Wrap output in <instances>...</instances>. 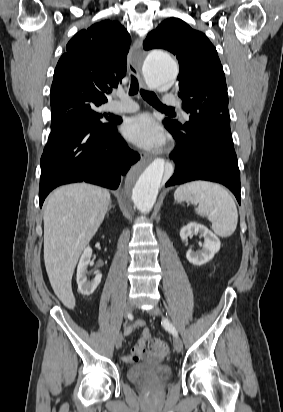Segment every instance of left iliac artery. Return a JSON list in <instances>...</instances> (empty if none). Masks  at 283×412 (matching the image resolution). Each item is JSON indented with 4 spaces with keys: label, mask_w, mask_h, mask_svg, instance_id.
Wrapping results in <instances>:
<instances>
[{
    "label": "left iliac artery",
    "mask_w": 283,
    "mask_h": 412,
    "mask_svg": "<svg viewBox=\"0 0 283 412\" xmlns=\"http://www.w3.org/2000/svg\"><path fill=\"white\" fill-rule=\"evenodd\" d=\"M163 325L165 326V328L172 333L174 336H177V330L175 329V327L168 321H164Z\"/></svg>",
    "instance_id": "obj_1"
}]
</instances>
